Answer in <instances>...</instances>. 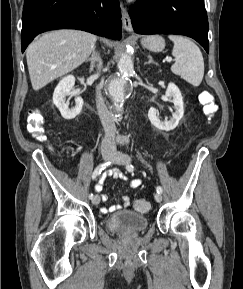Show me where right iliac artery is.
<instances>
[{
  "label": "right iliac artery",
  "mask_w": 243,
  "mask_h": 289,
  "mask_svg": "<svg viewBox=\"0 0 243 289\" xmlns=\"http://www.w3.org/2000/svg\"><path fill=\"white\" fill-rule=\"evenodd\" d=\"M111 163H112L111 161H108V162H105V163L97 166V167L95 168L93 174H92V179H93V180L96 179L105 168H107L109 165H111ZM89 198H90V199L93 198V194H92V193L89 195Z\"/></svg>",
  "instance_id": "right-iliac-artery-1"
}]
</instances>
